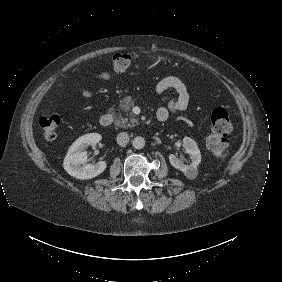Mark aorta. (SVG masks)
<instances>
[{"label": "aorta", "mask_w": 282, "mask_h": 282, "mask_svg": "<svg viewBox=\"0 0 282 282\" xmlns=\"http://www.w3.org/2000/svg\"><path fill=\"white\" fill-rule=\"evenodd\" d=\"M145 145H146V141H145V139H144L143 137H141V136L135 137V138L133 139V141H132V146H133L135 149H138V150L144 148Z\"/></svg>", "instance_id": "obj_1"}]
</instances>
